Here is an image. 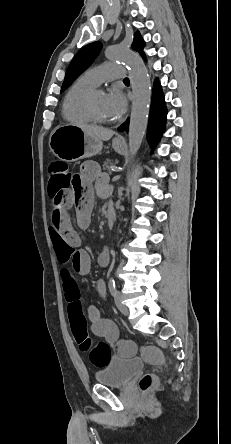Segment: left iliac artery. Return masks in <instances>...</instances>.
<instances>
[{
	"mask_svg": "<svg viewBox=\"0 0 231 444\" xmlns=\"http://www.w3.org/2000/svg\"><path fill=\"white\" fill-rule=\"evenodd\" d=\"M108 286H109V290H110L111 295L115 296V294H116V283H115V280L113 278H110Z\"/></svg>",
	"mask_w": 231,
	"mask_h": 444,
	"instance_id": "obj_1",
	"label": "left iliac artery"
}]
</instances>
